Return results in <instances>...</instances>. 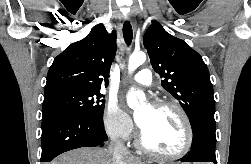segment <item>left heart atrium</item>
Wrapping results in <instances>:
<instances>
[{
  "label": "left heart atrium",
  "instance_id": "39dd6f15",
  "mask_svg": "<svg viewBox=\"0 0 251 164\" xmlns=\"http://www.w3.org/2000/svg\"><path fill=\"white\" fill-rule=\"evenodd\" d=\"M138 125L140 126V128H141V126H142V123L140 122V121H138Z\"/></svg>",
  "mask_w": 251,
  "mask_h": 164
}]
</instances>
